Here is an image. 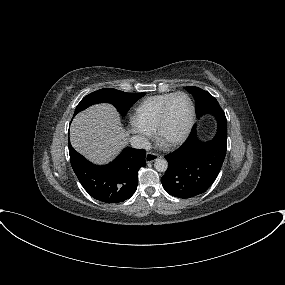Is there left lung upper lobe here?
<instances>
[{
  "label": "left lung upper lobe",
  "instance_id": "1",
  "mask_svg": "<svg viewBox=\"0 0 285 285\" xmlns=\"http://www.w3.org/2000/svg\"><path fill=\"white\" fill-rule=\"evenodd\" d=\"M184 88L194 96L197 117H199L209 108L220 106L217 100L209 92L194 86Z\"/></svg>",
  "mask_w": 285,
  "mask_h": 285
}]
</instances>
